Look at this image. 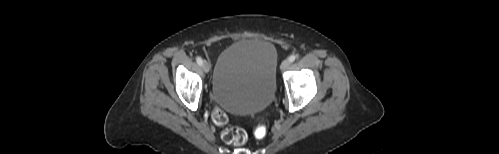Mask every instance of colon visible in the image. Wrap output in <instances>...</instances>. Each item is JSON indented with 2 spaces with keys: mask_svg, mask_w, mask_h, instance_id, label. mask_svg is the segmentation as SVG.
Instances as JSON below:
<instances>
[{
  "mask_svg": "<svg viewBox=\"0 0 499 154\" xmlns=\"http://www.w3.org/2000/svg\"><path fill=\"white\" fill-rule=\"evenodd\" d=\"M212 120L218 125L225 127L222 131V139L234 145H243L247 141V133L244 129L239 127H228V116L224 110L219 107H216L212 112ZM265 134V129H261L258 131L259 136H263Z\"/></svg>",
  "mask_w": 499,
  "mask_h": 154,
  "instance_id": "5ec220e1",
  "label": "colon"
}]
</instances>
